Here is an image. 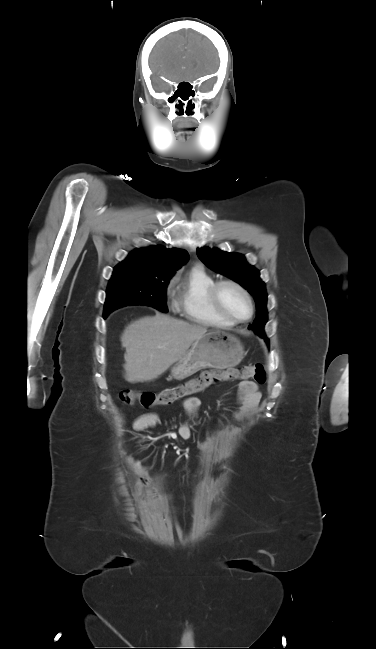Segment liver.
I'll use <instances>...</instances> for the list:
<instances>
[{"label":"liver","instance_id":"liver-1","mask_svg":"<svg viewBox=\"0 0 376 649\" xmlns=\"http://www.w3.org/2000/svg\"><path fill=\"white\" fill-rule=\"evenodd\" d=\"M206 332L204 326L161 313L132 322L121 336L122 346L126 348L125 380L134 384L156 379Z\"/></svg>","mask_w":376,"mask_h":649}]
</instances>
